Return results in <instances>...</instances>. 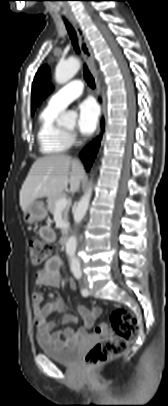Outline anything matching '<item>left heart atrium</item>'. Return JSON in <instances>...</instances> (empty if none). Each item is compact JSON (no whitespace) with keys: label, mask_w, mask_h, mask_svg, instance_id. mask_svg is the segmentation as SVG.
Listing matches in <instances>:
<instances>
[{"label":"left heart atrium","mask_w":168,"mask_h":406,"mask_svg":"<svg viewBox=\"0 0 168 406\" xmlns=\"http://www.w3.org/2000/svg\"><path fill=\"white\" fill-rule=\"evenodd\" d=\"M77 128L83 135L92 134L98 124L99 111L96 104L91 100L81 102L77 108Z\"/></svg>","instance_id":"left-heart-atrium-1"}]
</instances>
